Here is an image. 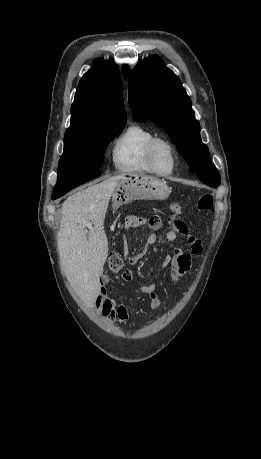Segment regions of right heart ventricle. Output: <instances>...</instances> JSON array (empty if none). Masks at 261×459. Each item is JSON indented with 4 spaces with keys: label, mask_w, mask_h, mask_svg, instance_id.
<instances>
[{
    "label": "right heart ventricle",
    "mask_w": 261,
    "mask_h": 459,
    "mask_svg": "<svg viewBox=\"0 0 261 459\" xmlns=\"http://www.w3.org/2000/svg\"><path fill=\"white\" fill-rule=\"evenodd\" d=\"M155 137V132L146 126L127 127L112 147L115 168L122 173H153L147 161V148Z\"/></svg>",
    "instance_id": "1"
}]
</instances>
